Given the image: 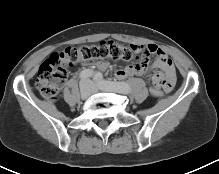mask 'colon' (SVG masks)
I'll return each mask as SVG.
<instances>
[{"label":"colon","mask_w":219,"mask_h":174,"mask_svg":"<svg viewBox=\"0 0 219 174\" xmlns=\"http://www.w3.org/2000/svg\"><path fill=\"white\" fill-rule=\"evenodd\" d=\"M135 58V51L131 46L119 44L114 41H101L97 44L69 47L61 52H55L40 66L36 88L47 100H55L63 87L68 69L78 64L98 60L131 61ZM142 65L146 64L143 57ZM153 97L163 96L161 87L150 89Z\"/></svg>","instance_id":"5ec220e1"}]
</instances>
